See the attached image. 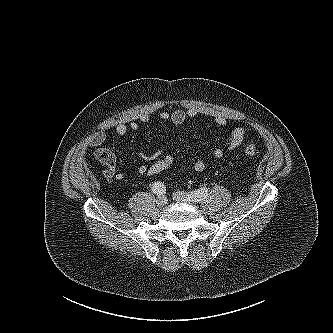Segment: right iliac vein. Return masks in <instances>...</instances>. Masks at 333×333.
Here are the masks:
<instances>
[{"label": "right iliac vein", "mask_w": 333, "mask_h": 333, "mask_svg": "<svg viewBox=\"0 0 333 333\" xmlns=\"http://www.w3.org/2000/svg\"><path fill=\"white\" fill-rule=\"evenodd\" d=\"M157 203L160 206H163L167 203V198L164 195H159L157 198Z\"/></svg>", "instance_id": "1"}]
</instances>
